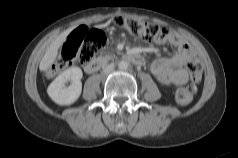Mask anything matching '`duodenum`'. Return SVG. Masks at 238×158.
<instances>
[{
  "label": "duodenum",
  "instance_id": "duodenum-1",
  "mask_svg": "<svg viewBox=\"0 0 238 158\" xmlns=\"http://www.w3.org/2000/svg\"><path fill=\"white\" fill-rule=\"evenodd\" d=\"M122 59L130 61L137 66H143L145 64L144 58L139 54H125L122 56ZM108 61L107 57H98L85 66V71L87 73H94L100 69Z\"/></svg>",
  "mask_w": 238,
  "mask_h": 158
}]
</instances>
